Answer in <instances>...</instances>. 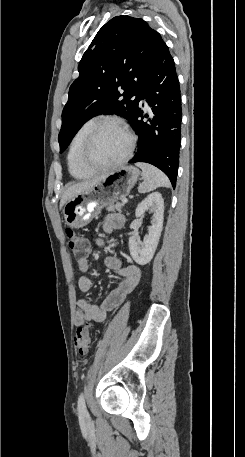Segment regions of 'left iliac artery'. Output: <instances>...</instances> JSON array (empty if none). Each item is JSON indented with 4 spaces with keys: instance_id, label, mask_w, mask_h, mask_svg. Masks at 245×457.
I'll use <instances>...</instances> for the list:
<instances>
[{
    "instance_id": "1",
    "label": "left iliac artery",
    "mask_w": 245,
    "mask_h": 457,
    "mask_svg": "<svg viewBox=\"0 0 245 457\" xmlns=\"http://www.w3.org/2000/svg\"><path fill=\"white\" fill-rule=\"evenodd\" d=\"M78 411L80 413L85 414V415L88 414L87 409H86V405H85V398H84V394L83 393H81L79 395V398H78Z\"/></svg>"
}]
</instances>
